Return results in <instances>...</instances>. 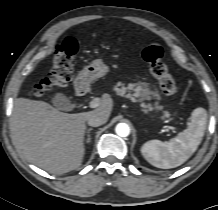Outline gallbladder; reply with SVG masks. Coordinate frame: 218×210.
I'll return each instance as SVG.
<instances>
[{
    "mask_svg": "<svg viewBox=\"0 0 218 210\" xmlns=\"http://www.w3.org/2000/svg\"><path fill=\"white\" fill-rule=\"evenodd\" d=\"M52 102H53V105L58 108V109H61L63 110V106H62V103L64 102H68L66 97L63 96L62 94L60 93H57L54 95V97L52 98Z\"/></svg>",
    "mask_w": 218,
    "mask_h": 210,
    "instance_id": "1",
    "label": "gallbladder"
}]
</instances>
